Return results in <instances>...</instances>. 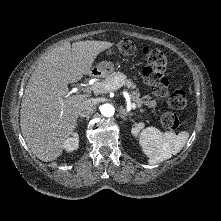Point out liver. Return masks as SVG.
<instances>
[{
  "label": "liver",
  "instance_id": "liver-1",
  "mask_svg": "<svg viewBox=\"0 0 221 221\" xmlns=\"http://www.w3.org/2000/svg\"><path fill=\"white\" fill-rule=\"evenodd\" d=\"M114 44L107 41L63 43L45 53L26 86L20 126L31 152L48 162L62 155L87 95L69 96L68 84L91 72L97 56Z\"/></svg>",
  "mask_w": 221,
  "mask_h": 221
}]
</instances>
